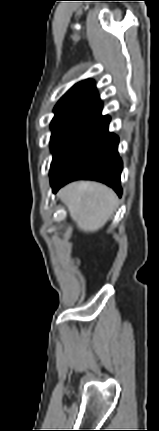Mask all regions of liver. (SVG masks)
I'll return each mask as SVG.
<instances>
[{"mask_svg":"<svg viewBox=\"0 0 159 431\" xmlns=\"http://www.w3.org/2000/svg\"><path fill=\"white\" fill-rule=\"evenodd\" d=\"M59 198L77 227L84 232H96L104 227L118 204L112 189L91 181L68 184L60 190Z\"/></svg>","mask_w":159,"mask_h":431,"instance_id":"6515ba94","label":"liver"}]
</instances>
